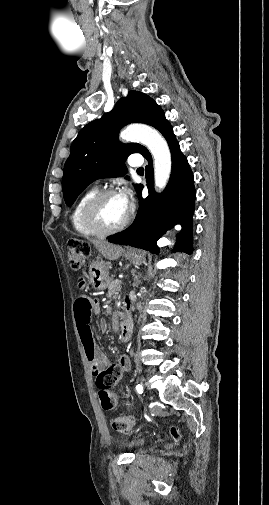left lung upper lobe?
<instances>
[{"mask_svg":"<svg viewBox=\"0 0 269 505\" xmlns=\"http://www.w3.org/2000/svg\"><path fill=\"white\" fill-rule=\"evenodd\" d=\"M163 117V110L152 98L130 91L112 111L84 126L73 141L64 165L62 189L66 205L71 206L94 180L124 176L127 173L124 161L130 154L144 156L148 152L140 144L119 142L118 132L123 126L138 122L154 127Z\"/></svg>","mask_w":269,"mask_h":505,"instance_id":"obj_1","label":"left lung upper lobe"}]
</instances>
